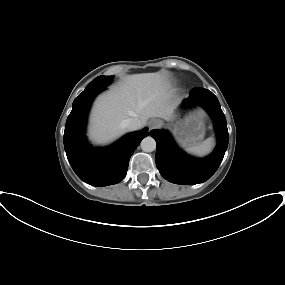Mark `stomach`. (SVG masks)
Wrapping results in <instances>:
<instances>
[{
    "label": "stomach",
    "mask_w": 285,
    "mask_h": 285,
    "mask_svg": "<svg viewBox=\"0 0 285 285\" xmlns=\"http://www.w3.org/2000/svg\"><path fill=\"white\" fill-rule=\"evenodd\" d=\"M170 129L180 145L191 147L200 144L205 134L203 111H195L175 121L170 125Z\"/></svg>",
    "instance_id": "1"
}]
</instances>
